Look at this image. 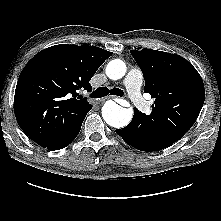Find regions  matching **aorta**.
I'll use <instances>...</instances> for the list:
<instances>
[{"label":"aorta","mask_w":221,"mask_h":221,"mask_svg":"<svg viewBox=\"0 0 221 221\" xmlns=\"http://www.w3.org/2000/svg\"><path fill=\"white\" fill-rule=\"evenodd\" d=\"M126 73V64L120 59L111 60L106 66V75L112 80L121 79ZM133 116L132 109H126L114 101H107L102 107L104 121L115 128H122L129 124Z\"/></svg>","instance_id":"obj_1"}]
</instances>
